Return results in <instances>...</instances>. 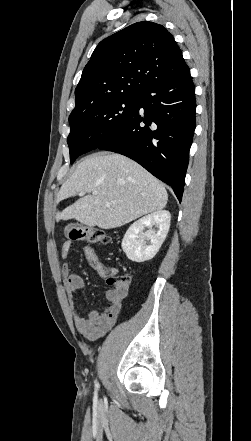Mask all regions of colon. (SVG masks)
<instances>
[{
	"mask_svg": "<svg viewBox=\"0 0 251 441\" xmlns=\"http://www.w3.org/2000/svg\"><path fill=\"white\" fill-rule=\"evenodd\" d=\"M64 234L67 239L72 241H84L89 244H107L111 237L103 230L92 228L84 224L74 222L64 227ZM103 277L107 283L114 286H128L130 277L119 274L115 269H107Z\"/></svg>",
	"mask_w": 251,
	"mask_h": 441,
	"instance_id": "colon-1",
	"label": "colon"
}]
</instances>
